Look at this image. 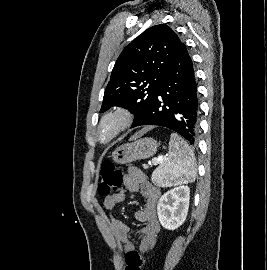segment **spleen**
<instances>
[{
  "label": "spleen",
  "mask_w": 267,
  "mask_h": 270,
  "mask_svg": "<svg viewBox=\"0 0 267 270\" xmlns=\"http://www.w3.org/2000/svg\"><path fill=\"white\" fill-rule=\"evenodd\" d=\"M195 157L189 145L172 133L167 157L152 175L154 184L170 187L193 182L196 178Z\"/></svg>",
  "instance_id": "1"
}]
</instances>
